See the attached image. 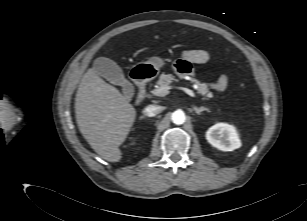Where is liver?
Listing matches in <instances>:
<instances>
[{"mask_svg": "<svg viewBox=\"0 0 307 221\" xmlns=\"http://www.w3.org/2000/svg\"><path fill=\"white\" fill-rule=\"evenodd\" d=\"M75 113L79 130L94 151L109 162H118L119 146L136 118L135 108L117 88L89 69L76 93Z\"/></svg>", "mask_w": 307, "mask_h": 221, "instance_id": "1", "label": "liver"}]
</instances>
